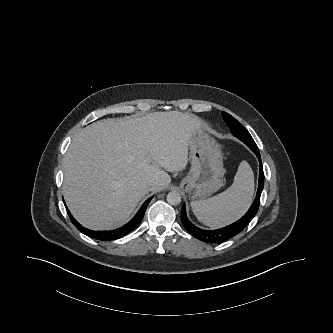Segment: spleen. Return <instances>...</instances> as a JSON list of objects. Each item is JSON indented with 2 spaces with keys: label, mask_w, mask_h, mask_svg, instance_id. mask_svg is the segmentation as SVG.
Listing matches in <instances>:
<instances>
[{
  "label": "spleen",
  "mask_w": 333,
  "mask_h": 333,
  "mask_svg": "<svg viewBox=\"0 0 333 333\" xmlns=\"http://www.w3.org/2000/svg\"><path fill=\"white\" fill-rule=\"evenodd\" d=\"M253 193V171L246 161H242L228 189L211 198L192 201L191 207L203 224L213 228L222 227L244 215L252 202Z\"/></svg>",
  "instance_id": "3e777b00"
}]
</instances>
